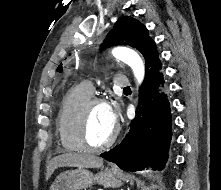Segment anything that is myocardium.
Instances as JSON below:
<instances>
[{
  "instance_id": "myocardium-1",
  "label": "myocardium",
  "mask_w": 221,
  "mask_h": 190,
  "mask_svg": "<svg viewBox=\"0 0 221 190\" xmlns=\"http://www.w3.org/2000/svg\"><path fill=\"white\" fill-rule=\"evenodd\" d=\"M96 105L108 106V103L104 98L91 97L85 103H83V105L80 107L76 116L74 132H75L77 143L79 147L81 148V150L83 151L98 152V151L105 150L111 147L115 143L119 134L118 128L115 127L113 133L111 134L109 139L106 140L105 142L98 144V145H93L89 142L88 137H87V123H88L90 111Z\"/></svg>"
}]
</instances>
